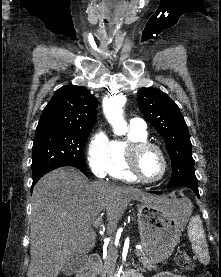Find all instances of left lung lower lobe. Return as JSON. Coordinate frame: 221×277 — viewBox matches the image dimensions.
Here are the masks:
<instances>
[{"label":"left lung lower lobe","instance_id":"obj_1","mask_svg":"<svg viewBox=\"0 0 221 277\" xmlns=\"http://www.w3.org/2000/svg\"><path fill=\"white\" fill-rule=\"evenodd\" d=\"M181 187H188L190 188L191 190L194 191V193L198 196H199V191H198V186L197 185H189V186H181ZM152 193H155V194H160V192H157V191H151Z\"/></svg>","mask_w":221,"mask_h":277}]
</instances>
